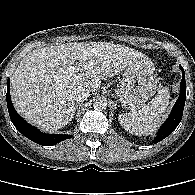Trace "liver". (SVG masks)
Segmentation results:
<instances>
[{"instance_id": "6515ba94", "label": "liver", "mask_w": 195, "mask_h": 195, "mask_svg": "<svg viewBox=\"0 0 195 195\" xmlns=\"http://www.w3.org/2000/svg\"><path fill=\"white\" fill-rule=\"evenodd\" d=\"M142 57L146 56L138 50L110 42H75L34 50L11 77L13 105L41 130L55 132L73 119L77 88L93 92L101 80L114 77ZM79 64L83 71L77 70Z\"/></svg>"}]
</instances>
